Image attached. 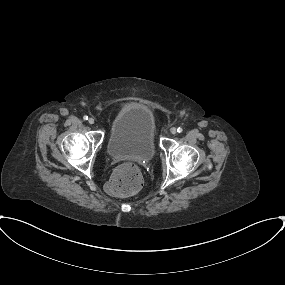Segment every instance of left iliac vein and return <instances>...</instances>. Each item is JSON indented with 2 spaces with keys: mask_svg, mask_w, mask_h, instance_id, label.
<instances>
[{
  "mask_svg": "<svg viewBox=\"0 0 285 285\" xmlns=\"http://www.w3.org/2000/svg\"><path fill=\"white\" fill-rule=\"evenodd\" d=\"M170 132H171L172 134H175V133L177 132V130H176L175 127H172V128L170 129Z\"/></svg>",
  "mask_w": 285,
  "mask_h": 285,
  "instance_id": "left-iliac-vein-1",
  "label": "left iliac vein"
}]
</instances>
